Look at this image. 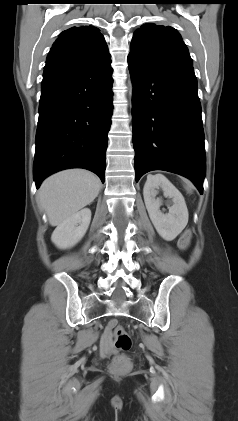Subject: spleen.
<instances>
[{
  "label": "spleen",
  "instance_id": "obj_1",
  "mask_svg": "<svg viewBox=\"0 0 238 421\" xmlns=\"http://www.w3.org/2000/svg\"><path fill=\"white\" fill-rule=\"evenodd\" d=\"M186 189H187L189 192H191V190H192L191 185H190V184H187Z\"/></svg>",
  "mask_w": 238,
  "mask_h": 421
}]
</instances>
